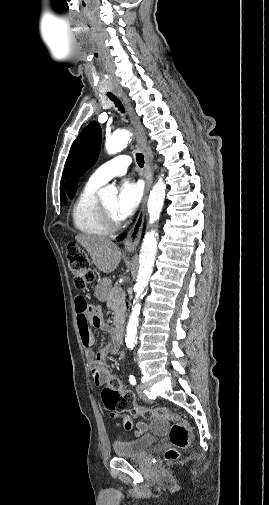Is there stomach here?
I'll use <instances>...</instances> for the list:
<instances>
[{"instance_id": "stomach-1", "label": "stomach", "mask_w": 269, "mask_h": 505, "mask_svg": "<svg viewBox=\"0 0 269 505\" xmlns=\"http://www.w3.org/2000/svg\"><path fill=\"white\" fill-rule=\"evenodd\" d=\"M111 289V280L109 278H103L99 281L96 286L95 292L98 298L105 299L109 290Z\"/></svg>"}]
</instances>
